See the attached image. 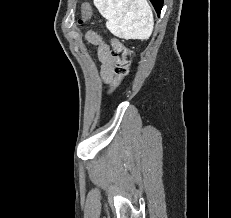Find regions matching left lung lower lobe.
<instances>
[{"instance_id":"obj_1","label":"left lung lower lobe","mask_w":231,"mask_h":218,"mask_svg":"<svg viewBox=\"0 0 231 218\" xmlns=\"http://www.w3.org/2000/svg\"><path fill=\"white\" fill-rule=\"evenodd\" d=\"M151 3L153 4L158 16L160 15L162 6H163V0H150Z\"/></svg>"}]
</instances>
